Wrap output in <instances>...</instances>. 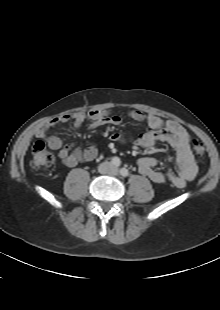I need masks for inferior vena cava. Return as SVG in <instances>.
I'll return each instance as SVG.
<instances>
[{
  "mask_svg": "<svg viewBox=\"0 0 220 310\" xmlns=\"http://www.w3.org/2000/svg\"><path fill=\"white\" fill-rule=\"evenodd\" d=\"M107 165L106 163L101 164V166Z\"/></svg>",
  "mask_w": 220,
  "mask_h": 310,
  "instance_id": "obj_1",
  "label": "inferior vena cava"
}]
</instances>
